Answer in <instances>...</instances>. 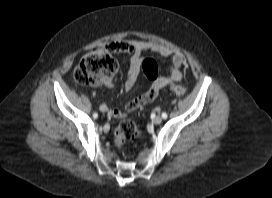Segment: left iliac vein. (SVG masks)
<instances>
[{"mask_svg": "<svg viewBox=\"0 0 272 198\" xmlns=\"http://www.w3.org/2000/svg\"><path fill=\"white\" fill-rule=\"evenodd\" d=\"M152 121H153L154 124H160L162 122V117L161 116H155L152 119Z\"/></svg>", "mask_w": 272, "mask_h": 198, "instance_id": "left-iliac-vein-1", "label": "left iliac vein"}]
</instances>
